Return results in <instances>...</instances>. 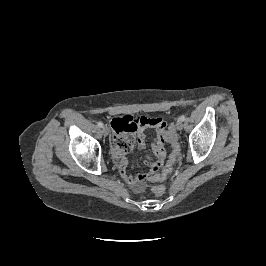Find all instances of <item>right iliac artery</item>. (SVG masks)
Segmentation results:
<instances>
[{"label": "right iliac artery", "instance_id": "1", "mask_svg": "<svg viewBox=\"0 0 266 266\" xmlns=\"http://www.w3.org/2000/svg\"><path fill=\"white\" fill-rule=\"evenodd\" d=\"M98 126H99L100 128H103L104 124H103L102 122H99V123H98Z\"/></svg>", "mask_w": 266, "mask_h": 266}]
</instances>
